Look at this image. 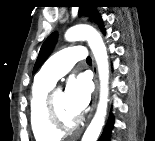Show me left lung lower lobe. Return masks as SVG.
<instances>
[{
    "label": "left lung lower lobe",
    "instance_id": "left-lung-lower-lobe-1",
    "mask_svg": "<svg viewBox=\"0 0 155 141\" xmlns=\"http://www.w3.org/2000/svg\"><path fill=\"white\" fill-rule=\"evenodd\" d=\"M113 124H114V119H113L112 115H110L99 141H108Z\"/></svg>",
    "mask_w": 155,
    "mask_h": 141
}]
</instances>
